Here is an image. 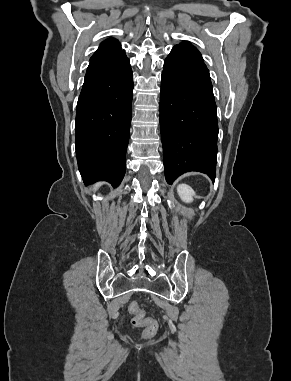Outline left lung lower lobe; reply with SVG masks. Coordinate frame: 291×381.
<instances>
[{"mask_svg":"<svg viewBox=\"0 0 291 381\" xmlns=\"http://www.w3.org/2000/svg\"><path fill=\"white\" fill-rule=\"evenodd\" d=\"M160 129L168 184L189 171L215 179L218 124L209 70L178 48L164 62Z\"/></svg>","mask_w":291,"mask_h":381,"instance_id":"obj_1","label":"left lung lower lobe"}]
</instances>
